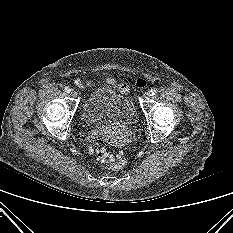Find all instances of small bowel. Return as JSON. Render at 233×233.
I'll return each instance as SVG.
<instances>
[{
    "label": "small bowel",
    "instance_id": "1",
    "mask_svg": "<svg viewBox=\"0 0 233 233\" xmlns=\"http://www.w3.org/2000/svg\"><path fill=\"white\" fill-rule=\"evenodd\" d=\"M76 84L81 87V88H87L90 86V82L89 81H85V82H82L81 80H77L76 81Z\"/></svg>",
    "mask_w": 233,
    "mask_h": 233
}]
</instances>
